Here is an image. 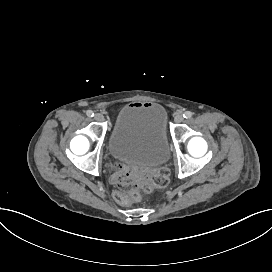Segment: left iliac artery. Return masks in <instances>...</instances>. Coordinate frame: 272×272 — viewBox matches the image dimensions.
Here are the masks:
<instances>
[{"label":"left iliac artery","instance_id":"obj_1","mask_svg":"<svg viewBox=\"0 0 272 272\" xmlns=\"http://www.w3.org/2000/svg\"><path fill=\"white\" fill-rule=\"evenodd\" d=\"M193 116V113L191 111H186L184 114H183V117L186 118V119H189Z\"/></svg>","mask_w":272,"mask_h":272}]
</instances>
